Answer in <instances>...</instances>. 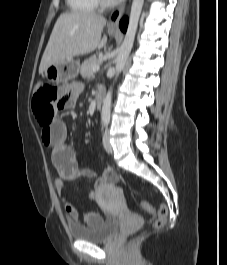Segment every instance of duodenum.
I'll list each match as a JSON object with an SVG mask.
<instances>
[{"label":"duodenum","instance_id":"410a0bca","mask_svg":"<svg viewBox=\"0 0 227 265\" xmlns=\"http://www.w3.org/2000/svg\"><path fill=\"white\" fill-rule=\"evenodd\" d=\"M104 101V90L103 88H98L95 98V106L97 109H100L102 107Z\"/></svg>","mask_w":227,"mask_h":265}]
</instances>
